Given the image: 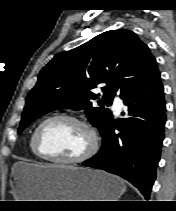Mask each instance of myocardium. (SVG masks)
<instances>
[{
	"label": "myocardium",
	"mask_w": 176,
	"mask_h": 211,
	"mask_svg": "<svg viewBox=\"0 0 176 211\" xmlns=\"http://www.w3.org/2000/svg\"><path fill=\"white\" fill-rule=\"evenodd\" d=\"M57 120H67V121L74 122L82 126L88 132L90 136V144L83 154L74 158H61V157H56V156L46 154L43 151L41 147V143H40L41 131L47 124L53 121H57ZM33 146L37 155L42 159L57 162V163H62V164H77V163H82L86 161L87 159H89L96 153L99 147V136L95 128L85 119L80 118L75 115H71V114H64V113L55 114L50 117H47L46 119H44L42 122L38 124V126L33 132Z\"/></svg>",
	"instance_id": "1"
}]
</instances>
